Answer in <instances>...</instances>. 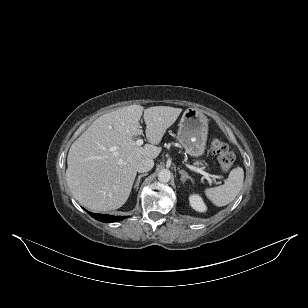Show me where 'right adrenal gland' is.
<instances>
[{
  "instance_id": "1",
  "label": "right adrenal gland",
  "mask_w": 308,
  "mask_h": 308,
  "mask_svg": "<svg viewBox=\"0 0 308 308\" xmlns=\"http://www.w3.org/2000/svg\"><path fill=\"white\" fill-rule=\"evenodd\" d=\"M146 175H147V173L140 174V175L138 176V178H137V180H136V183H135V185H134V188L136 189V191H137L138 188H139V184H140L141 178L144 177V176H146Z\"/></svg>"
}]
</instances>
